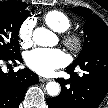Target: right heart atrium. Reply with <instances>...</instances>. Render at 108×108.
Segmentation results:
<instances>
[{"label":"right heart atrium","instance_id":"1","mask_svg":"<svg viewBox=\"0 0 108 108\" xmlns=\"http://www.w3.org/2000/svg\"><path fill=\"white\" fill-rule=\"evenodd\" d=\"M34 20L32 18L26 19L18 29V40L20 46L23 48L29 47L33 41Z\"/></svg>","mask_w":108,"mask_h":108}]
</instances>
